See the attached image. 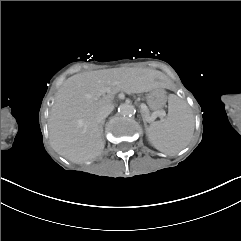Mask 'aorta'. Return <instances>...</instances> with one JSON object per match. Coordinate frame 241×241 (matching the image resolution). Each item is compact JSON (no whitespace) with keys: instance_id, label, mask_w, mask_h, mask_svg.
I'll use <instances>...</instances> for the list:
<instances>
[{"instance_id":"1","label":"aorta","mask_w":241,"mask_h":241,"mask_svg":"<svg viewBox=\"0 0 241 241\" xmlns=\"http://www.w3.org/2000/svg\"><path fill=\"white\" fill-rule=\"evenodd\" d=\"M119 112L122 116H132L135 112V107L131 103H123L119 106Z\"/></svg>"}]
</instances>
